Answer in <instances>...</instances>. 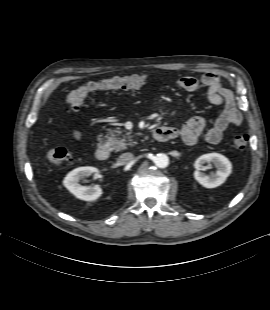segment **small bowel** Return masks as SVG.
Listing matches in <instances>:
<instances>
[{"label":"small bowel","mask_w":270,"mask_h":310,"mask_svg":"<svg viewBox=\"0 0 270 310\" xmlns=\"http://www.w3.org/2000/svg\"><path fill=\"white\" fill-rule=\"evenodd\" d=\"M177 84L187 92H193L200 86H205L208 101L213 105L223 106L222 112L205 134V140L208 143H219L228 127L241 124L242 115L237 109L234 93L222 84L220 77L215 72H206L200 78L193 76L181 77L178 79ZM165 127L174 130L175 137L180 136L187 145H195L205 128V120L197 116L189 119L180 128ZM72 137L77 141H81L83 134L80 130L73 129Z\"/></svg>","instance_id":"obj_1"}]
</instances>
